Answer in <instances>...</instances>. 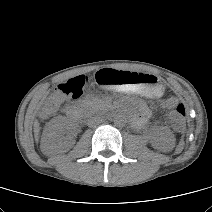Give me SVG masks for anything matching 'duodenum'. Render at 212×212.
Listing matches in <instances>:
<instances>
[{
	"mask_svg": "<svg viewBox=\"0 0 212 212\" xmlns=\"http://www.w3.org/2000/svg\"><path fill=\"white\" fill-rule=\"evenodd\" d=\"M68 115H69V117H71L73 119H80L81 118V112L78 108H71L68 111ZM143 120H144V117L142 115L134 118V122L136 124H141L143 122Z\"/></svg>",
	"mask_w": 212,
	"mask_h": 212,
	"instance_id": "1",
	"label": "duodenum"
}]
</instances>
